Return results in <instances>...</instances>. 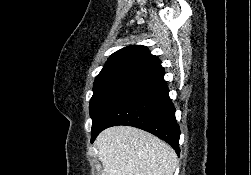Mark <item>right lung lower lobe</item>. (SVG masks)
I'll list each match as a JSON object with an SVG mask.
<instances>
[{
    "label": "right lung lower lobe",
    "mask_w": 251,
    "mask_h": 175,
    "mask_svg": "<svg viewBox=\"0 0 251 175\" xmlns=\"http://www.w3.org/2000/svg\"><path fill=\"white\" fill-rule=\"evenodd\" d=\"M115 125L148 131L169 143L178 155L180 153V128L164 74L138 80L122 92L102 116L91 142L102 130Z\"/></svg>",
    "instance_id": "obj_1"
}]
</instances>
